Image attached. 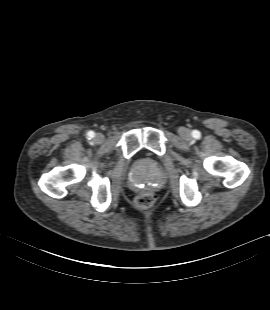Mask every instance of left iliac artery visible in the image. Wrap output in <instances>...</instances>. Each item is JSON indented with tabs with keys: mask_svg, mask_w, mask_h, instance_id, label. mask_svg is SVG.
I'll list each match as a JSON object with an SVG mask.
<instances>
[{
	"mask_svg": "<svg viewBox=\"0 0 270 310\" xmlns=\"http://www.w3.org/2000/svg\"><path fill=\"white\" fill-rule=\"evenodd\" d=\"M193 137L194 138H199L200 137V133L198 131H193Z\"/></svg>",
	"mask_w": 270,
	"mask_h": 310,
	"instance_id": "obj_1",
	"label": "left iliac artery"
}]
</instances>
